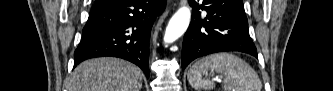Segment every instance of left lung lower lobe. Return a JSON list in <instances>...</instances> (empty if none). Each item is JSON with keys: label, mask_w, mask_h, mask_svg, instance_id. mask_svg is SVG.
I'll return each instance as SVG.
<instances>
[{"label": "left lung lower lobe", "mask_w": 333, "mask_h": 91, "mask_svg": "<svg viewBox=\"0 0 333 91\" xmlns=\"http://www.w3.org/2000/svg\"><path fill=\"white\" fill-rule=\"evenodd\" d=\"M193 7L182 48V69L194 59L216 52L240 51L257 57L242 0H189ZM207 15L201 16L199 10Z\"/></svg>", "instance_id": "left-lung-lower-lobe-1"}]
</instances>
